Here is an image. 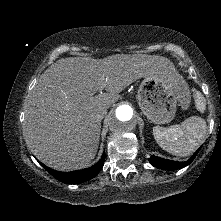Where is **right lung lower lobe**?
<instances>
[{
  "label": "right lung lower lobe",
  "instance_id": "obj_1",
  "mask_svg": "<svg viewBox=\"0 0 221 221\" xmlns=\"http://www.w3.org/2000/svg\"><path fill=\"white\" fill-rule=\"evenodd\" d=\"M105 161V153L103 154L102 158L96 163L94 166L84 169V170H77L72 172H59L55 171L44 164L40 163L53 177L57 180L67 183V184H77L88 181L94 178L102 169Z\"/></svg>",
  "mask_w": 221,
  "mask_h": 221
}]
</instances>
